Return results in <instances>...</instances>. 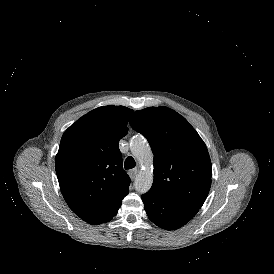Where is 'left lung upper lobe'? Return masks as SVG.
Instances as JSON below:
<instances>
[{
	"mask_svg": "<svg viewBox=\"0 0 274 274\" xmlns=\"http://www.w3.org/2000/svg\"><path fill=\"white\" fill-rule=\"evenodd\" d=\"M130 125L147 138L154 154L150 190L200 209L210 190L212 166L195 129L180 114L163 106L134 112Z\"/></svg>",
	"mask_w": 274,
	"mask_h": 274,
	"instance_id": "1",
	"label": "left lung upper lobe"
}]
</instances>
